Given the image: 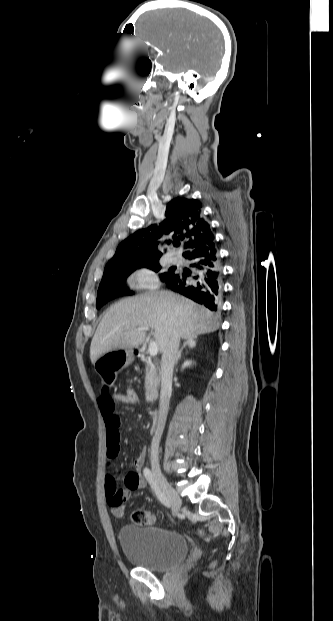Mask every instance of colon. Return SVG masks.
Returning <instances> with one entry per match:
<instances>
[{
	"instance_id": "5ec220e1",
	"label": "colon",
	"mask_w": 333,
	"mask_h": 621,
	"mask_svg": "<svg viewBox=\"0 0 333 621\" xmlns=\"http://www.w3.org/2000/svg\"><path fill=\"white\" fill-rule=\"evenodd\" d=\"M139 401H140L139 392L133 386L127 387V389L122 393V403L128 406H135L139 403ZM112 512L116 517H121L124 514V508L118 506V507L113 508ZM131 521L137 525H149L157 521V516L152 512L142 510V509H137L132 512ZM197 533L203 536L205 535L204 531L200 529L197 530Z\"/></svg>"
}]
</instances>
